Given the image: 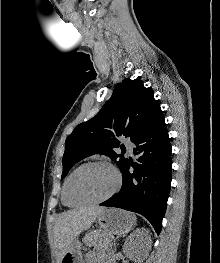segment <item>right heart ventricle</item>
<instances>
[{
    "label": "right heart ventricle",
    "instance_id": "obj_1",
    "mask_svg": "<svg viewBox=\"0 0 220 263\" xmlns=\"http://www.w3.org/2000/svg\"><path fill=\"white\" fill-rule=\"evenodd\" d=\"M65 183H66V181H65ZM65 183H64V186H63V190H62V202H63L64 205L69 206V205L65 202V199H64V188H65Z\"/></svg>",
    "mask_w": 220,
    "mask_h": 263
}]
</instances>
